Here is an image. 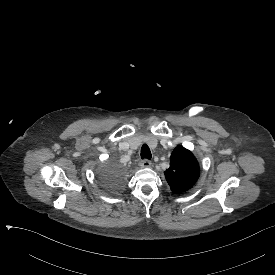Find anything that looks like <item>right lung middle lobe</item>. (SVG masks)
Segmentation results:
<instances>
[{
  "label": "right lung middle lobe",
  "mask_w": 275,
  "mask_h": 275,
  "mask_svg": "<svg viewBox=\"0 0 275 275\" xmlns=\"http://www.w3.org/2000/svg\"><path fill=\"white\" fill-rule=\"evenodd\" d=\"M97 177L104 183L105 190L110 194H117L124 187L123 173L114 164L101 165L97 170Z\"/></svg>",
  "instance_id": "obj_1"
}]
</instances>
